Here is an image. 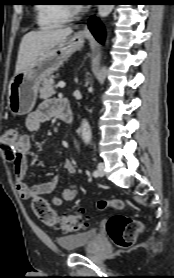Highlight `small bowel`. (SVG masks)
<instances>
[{"label":"small bowel","mask_w":174,"mask_h":278,"mask_svg":"<svg viewBox=\"0 0 174 278\" xmlns=\"http://www.w3.org/2000/svg\"><path fill=\"white\" fill-rule=\"evenodd\" d=\"M58 100L48 99L43 101L39 107L29 114L25 120V127L28 132H37L43 123L57 115ZM14 149V176L15 187L17 193L22 199H32L38 196L50 195L55 192L58 185V176H54L48 180L29 186L26 181L28 164L27 160L31 151V139L28 134L17 136L13 142ZM63 167L65 171L70 174H75V167L72 161L65 160ZM78 190L75 185L63 190L61 197L53 195L51 204L53 206H60L63 201H72L77 196Z\"/></svg>","instance_id":"1"}]
</instances>
